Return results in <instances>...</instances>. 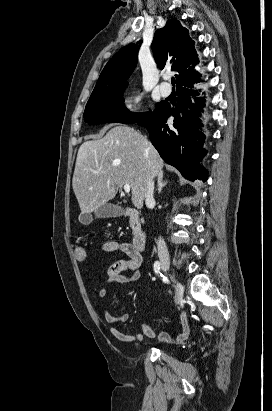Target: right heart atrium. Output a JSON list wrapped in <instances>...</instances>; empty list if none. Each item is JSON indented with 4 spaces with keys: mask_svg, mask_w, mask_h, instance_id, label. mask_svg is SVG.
<instances>
[{
    "mask_svg": "<svg viewBox=\"0 0 272 411\" xmlns=\"http://www.w3.org/2000/svg\"><path fill=\"white\" fill-rule=\"evenodd\" d=\"M142 97L138 93H129L122 99V108L127 112H135L140 108Z\"/></svg>",
    "mask_w": 272,
    "mask_h": 411,
    "instance_id": "1",
    "label": "right heart atrium"
}]
</instances>
